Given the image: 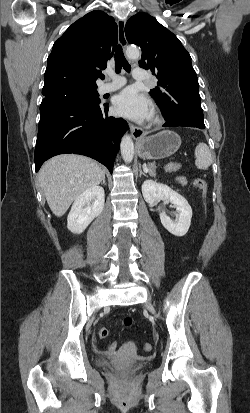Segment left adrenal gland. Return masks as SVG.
Segmentation results:
<instances>
[{"label":"left adrenal gland","instance_id":"1","mask_svg":"<svg viewBox=\"0 0 250 413\" xmlns=\"http://www.w3.org/2000/svg\"><path fill=\"white\" fill-rule=\"evenodd\" d=\"M145 166H146V164H143V167H145ZM142 175L147 176L146 173H145V172H142V170H141V168H140V176H142Z\"/></svg>","mask_w":250,"mask_h":413}]
</instances>
